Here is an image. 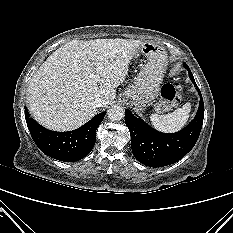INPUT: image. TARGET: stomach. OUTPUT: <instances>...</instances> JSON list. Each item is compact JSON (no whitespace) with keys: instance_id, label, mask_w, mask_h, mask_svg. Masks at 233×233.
<instances>
[{"instance_id":"0dacf381","label":"stomach","mask_w":233,"mask_h":233,"mask_svg":"<svg viewBox=\"0 0 233 233\" xmlns=\"http://www.w3.org/2000/svg\"><path fill=\"white\" fill-rule=\"evenodd\" d=\"M136 50L145 55L147 63L142 67L134 84L129 86L123 96L136 108L143 109L152 105L159 94L160 84L167 65V52L152 42H143Z\"/></svg>"}]
</instances>
